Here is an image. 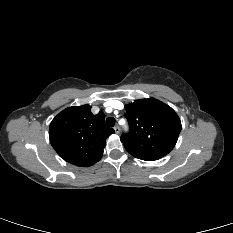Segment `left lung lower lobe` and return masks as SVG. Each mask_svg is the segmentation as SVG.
Listing matches in <instances>:
<instances>
[{
  "label": "left lung lower lobe",
  "mask_w": 233,
  "mask_h": 233,
  "mask_svg": "<svg viewBox=\"0 0 233 233\" xmlns=\"http://www.w3.org/2000/svg\"><path fill=\"white\" fill-rule=\"evenodd\" d=\"M136 158H139L141 160H146V161H154L160 159V157H153V156H134Z\"/></svg>",
  "instance_id": "obj_1"
}]
</instances>
